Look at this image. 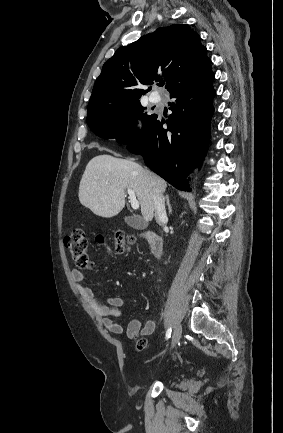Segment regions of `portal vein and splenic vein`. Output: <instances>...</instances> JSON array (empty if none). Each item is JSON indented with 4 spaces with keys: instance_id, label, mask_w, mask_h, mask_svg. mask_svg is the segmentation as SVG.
I'll return each mask as SVG.
<instances>
[{
    "instance_id": "1",
    "label": "portal vein and splenic vein",
    "mask_w": 283,
    "mask_h": 433,
    "mask_svg": "<svg viewBox=\"0 0 283 433\" xmlns=\"http://www.w3.org/2000/svg\"><path fill=\"white\" fill-rule=\"evenodd\" d=\"M127 192L129 194L132 208H139V202L135 196L134 190H132V188H127Z\"/></svg>"
}]
</instances>
